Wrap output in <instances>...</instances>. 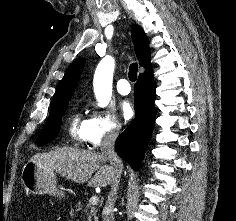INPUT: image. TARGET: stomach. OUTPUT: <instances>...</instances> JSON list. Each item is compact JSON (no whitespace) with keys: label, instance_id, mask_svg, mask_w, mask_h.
Listing matches in <instances>:
<instances>
[{"label":"stomach","instance_id":"obj_1","mask_svg":"<svg viewBox=\"0 0 236 221\" xmlns=\"http://www.w3.org/2000/svg\"><path fill=\"white\" fill-rule=\"evenodd\" d=\"M22 183L30 193L64 197V189L57 188L54 171L45 169L32 161H28L23 167Z\"/></svg>","mask_w":236,"mask_h":221}]
</instances>
